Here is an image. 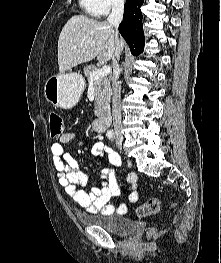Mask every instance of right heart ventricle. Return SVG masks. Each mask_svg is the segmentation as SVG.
<instances>
[{"label":"right heart ventricle","instance_id":"right-heart-ventricle-1","mask_svg":"<svg viewBox=\"0 0 221 263\" xmlns=\"http://www.w3.org/2000/svg\"><path fill=\"white\" fill-rule=\"evenodd\" d=\"M81 7L86 11L88 14L92 16H97L94 0H79Z\"/></svg>","mask_w":221,"mask_h":263}]
</instances>
